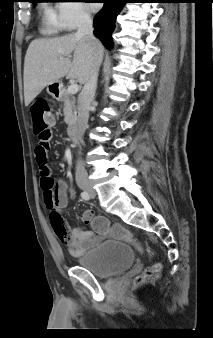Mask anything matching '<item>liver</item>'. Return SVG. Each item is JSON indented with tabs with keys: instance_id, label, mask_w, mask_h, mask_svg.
Returning <instances> with one entry per match:
<instances>
[{
	"instance_id": "1",
	"label": "liver",
	"mask_w": 213,
	"mask_h": 338,
	"mask_svg": "<svg viewBox=\"0 0 213 338\" xmlns=\"http://www.w3.org/2000/svg\"><path fill=\"white\" fill-rule=\"evenodd\" d=\"M96 49L103 51L98 41ZM96 49L92 42L76 34L32 41L24 61L25 105L28 106L46 86L64 76L85 84L94 66Z\"/></svg>"
}]
</instances>
